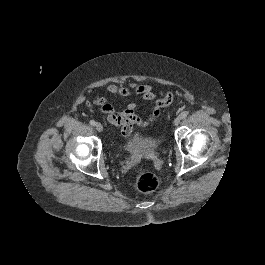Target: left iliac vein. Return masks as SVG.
Wrapping results in <instances>:
<instances>
[{
  "mask_svg": "<svg viewBox=\"0 0 265 265\" xmlns=\"http://www.w3.org/2000/svg\"><path fill=\"white\" fill-rule=\"evenodd\" d=\"M180 121H181L180 117H177V118L174 120L173 124H174L175 126H178L179 123H180Z\"/></svg>",
  "mask_w": 265,
  "mask_h": 265,
  "instance_id": "left-iliac-vein-1",
  "label": "left iliac vein"
}]
</instances>
